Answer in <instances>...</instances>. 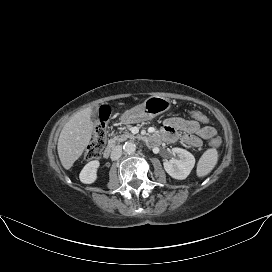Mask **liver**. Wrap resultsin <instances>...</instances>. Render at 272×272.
Listing matches in <instances>:
<instances>
[{
	"label": "liver",
	"instance_id": "6515ba94",
	"mask_svg": "<svg viewBox=\"0 0 272 272\" xmlns=\"http://www.w3.org/2000/svg\"><path fill=\"white\" fill-rule=\"evenodd\" d=\"M93 130L90 109L75 113L64 125L58 139L57 150L62 166L69 170L83 154Z\"/></svg>",
	"mask_w": 272,
	"mask_h": 272
}]
</instances>
